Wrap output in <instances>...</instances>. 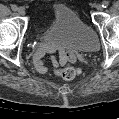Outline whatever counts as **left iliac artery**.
<instances>
[{"instance_id": "left-iliac-artery-1", "label": "left iliac artery", "mask_w": 119, "mask_h": 119, "mask_svg": "<svg viewBox=\"0 0 119 119\" xmlns=\"http://www.w3.org/2000/svg\"><path fill=\"white\" fill-rule=\"evenodd\" d=\"M108 5H109V2L108 1H103V4H102V7L103 8H106Z\"/></svg>"}]
</instances>
